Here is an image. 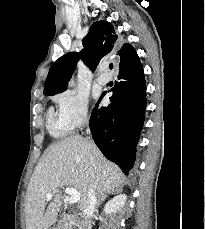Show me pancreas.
<instances>
[{"label":"pancreas","instance_id":"obj_1","mask_svg":"<svg viewBox=\"0 0 205 229\" xmlns=\"http://www.w3.org/2000/svg\"><path fill=\"white\" fill-rule=\"evenodd\" d=\"M58 229H67V228H66L65 225L62 224V225H60V226L58 227Z\"/></svg>","mask_w":205,"mask_h":229}]
</instances>
